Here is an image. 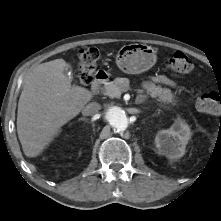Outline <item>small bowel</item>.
<instances>
[{
  "instance_id": "small-bowel-1",
  "label": "small bowel",
  "mask_w": 221,
  "mask_h": 221,
  "mask_svg": "<svg viewBox=\"0 0 221 221\" xmlns=\"http://www.w3.org/2000/svg\"><path fill=\"white\" fill-rule=\"evenodd\" d=\"M154 84H164L167 86L174 87L176 83L166 75H156L152 77V79L145 84V89L150 90Z\"/></svg>"
}]
</instances>
